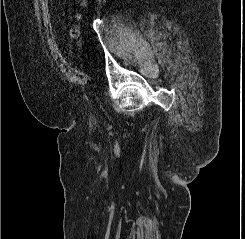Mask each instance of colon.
<instances>
[{"instance_id":"1","label":"colon","mask_w":245,"mask_h":239,"mask_svg":"<svg viewBox=\"0 0 245 239\" xmlns=\"http://www.w3.org/2000/svg\"><path fill=\"white\" fill-rule=\"evenodd\" d=\"M79 4H80L81 6L84 7V6H86V4H87V0H79ZM76 18H77V20H80V19H81V16H80V15H77ZM80 34H81L80 27H79L77 24L74 25V26L70 29V35H71V37H73V38L79 40Z\"/></svg>"}]
</instances>
